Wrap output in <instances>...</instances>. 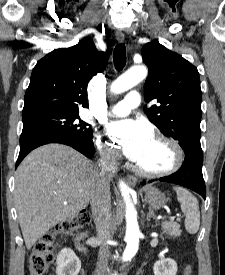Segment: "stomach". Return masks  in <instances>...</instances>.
I'll return each instance as SVG.
<instances>
[{"label": "stomach", "mask_w": 225, "mask_h": 275, "mask_svg": "<svg viewBox=\"0 0 225 275\" xmlns=\"http://www.w3.org/2000/svg\"><path fill=\"white\" fill-rule=\"evenodd\" d=\"M145 200L150 208L159 209L166 203L165 195L157 188L149 187L145 191Z\"/></svg>", "instance_id": "1"}]
</instances>
